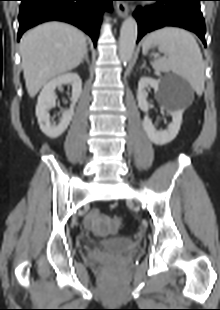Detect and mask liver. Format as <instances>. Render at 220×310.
<instances>
[{
    "label": "liver",
    "mask_w": 220,
    "mask_h": 310,
    "mask_svg": "<svg viewBox=\"0 0 220 310\" xmlns=\"http://www.w3.org/2000/svg\"><path fill=\"white\" fill-rule=\"evenodd\" d=\"M87 51L86 37L77 28L48 22L28 31L20 41L26 89L30 97L51 79L76 68Z\"/></svg>",
    "instance_id": "liver-1"
}]
</instances>
